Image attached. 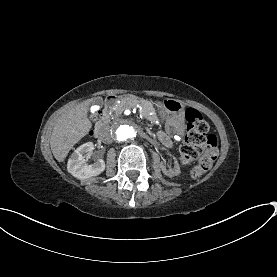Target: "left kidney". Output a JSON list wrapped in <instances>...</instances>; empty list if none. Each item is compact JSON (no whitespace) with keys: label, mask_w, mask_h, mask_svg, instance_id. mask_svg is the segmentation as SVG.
<instances>
[{"label":"left kidney","mask_w":277,"mask_h":277,"mask_svg":"<svg viewBox=\"0 0 277 277\" xmlns=\"http://www.w3.org/2000/svg\"><path fill=\"white\" fill-rule=\"evenodd\" d=\"M161 169H162V172L168 177H174L181 173L180 167H179V164H178L176 158H174V168L173 169L167 170L164 166H162Z\"/></svg>","instance_id":"left-kidney-1"}]
</instances>
